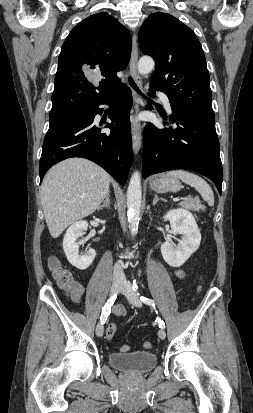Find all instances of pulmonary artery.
<instances>
[{"label": "pulmonary artery", "mask_w": 253, "mask_h": 413, "mask_svg": "<svg viewBox=\"0 0 253 413\" xmlns=\"http://www.w3.org/2000/svg\"><path fill=\"white\" fill-rule=\"evenodd\" d=\"M158 96L160 97L167 111L171 112L172 110H171V103H170L169 97L163 92H158Z\"/></svg>", "instance_id": "pulmonary-artery-1"}]
</instances>
